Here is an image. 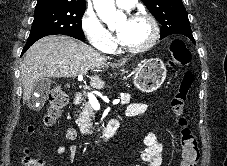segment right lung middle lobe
I'll return each instance as SVG.
<instances>
[{"label": "right lung middle lobe", "instance_id": "right-lung-middle-lobe-1", "mask_svg": "<svg viewBox=\"0 0 227 166\" xmlns=\"http://www.w3.org/2000/svg\"><path fill=\"white\" fill-rule=\"evenodd\" d=\"M85 7L70 5L36 6L34 21L27 42L54 34L84 39L81 18Z\"/></svg>", "mask_w": 227, "mask_h": 166}]
</instances>
